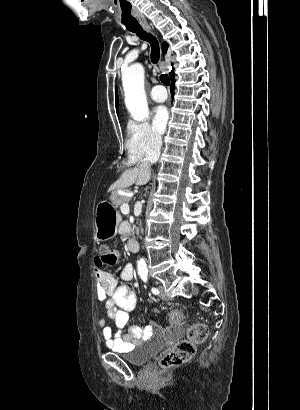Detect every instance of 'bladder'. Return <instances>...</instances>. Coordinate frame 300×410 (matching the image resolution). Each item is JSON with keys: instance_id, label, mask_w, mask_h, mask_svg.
Instances as JSON below:
<instances>
[{"instance_id": "bladder-1", "label": "bladder", "mask_w": 300, "mask_h": 410, "mask_svg": "<svg viewBox=\"0 0 300 410\" xmlns=\"http://www.w3.org/2000/svg\"><path fill=\"white\" fill-rule=\"evenodd\" d=\"M161 344L138 343L135 348L129 352L123 353L122 358L135 366H141L147 363L161 348Z\"/></svg>"}]
</instances>
